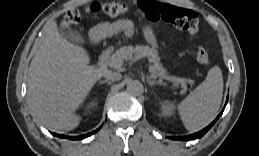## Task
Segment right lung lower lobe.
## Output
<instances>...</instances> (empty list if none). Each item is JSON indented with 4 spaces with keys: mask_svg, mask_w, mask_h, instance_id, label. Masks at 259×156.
Segmentation results:
<instances>
[{
    "mask_svg": "<svg viewBox=\"0 0 259 156\" xmlns=\"http://www.w3.org/2000/svg\"><path fill=\"white\" fill-rule=\"evenodd\" d=\"M99 130V129H98ZM97 131V130H96ZM96 131L94 132H91V133H88V134H85V135H81V136H65V135H60V134H55V136L57 137H62V138H67V139H72V140H76V139H83V138H86L90 135H92L93 133H95Z\"/></svg>",
    "mask_w": 259,
    "mask_h": 156,
    "instance_id": "right-lung-lower-lobe-1",
    "label": "right lung lower lobe"
}]
</instances>
